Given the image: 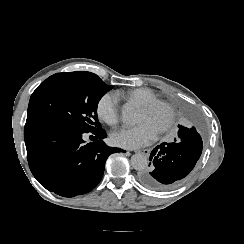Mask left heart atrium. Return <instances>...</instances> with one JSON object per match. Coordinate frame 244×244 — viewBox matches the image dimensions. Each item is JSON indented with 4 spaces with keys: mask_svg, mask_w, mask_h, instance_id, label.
I'll return each instance as SVG.
<instances>
[{
    "mask_svg": "<svg viewBox=\"0 0 244 244\" xmlns=\"http://www.w3.org/2000/svg\"><path fill=\"white\" fill-rule=\"evenodd\" d=\"M158 132L149 124L143 123L131 129H124L112 134V143L126 149H137L152 144Z\"/></svg>",
    "mask_w": 244,
    "mask_h": 244,
    "instance_id": "39dd6f15",
    "label": "left heart atrium"
}]
</instances>
